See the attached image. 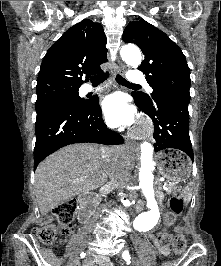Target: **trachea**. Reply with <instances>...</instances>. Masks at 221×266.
<instances>
[{
	"label": "trachea",
	"instance_id": "trachea-1",
	"mask_svg": "<svg viewBox=\"0 0 221 266\" xmlns=\"http://www.w3.org/2000/svg\"><path fill=\"white\" fill-rule=\"evenodd\" d=\"M108 76H109L108 72L101 73V74H98L96 76L90 77V80L93 84H100V83L104 82L108 78ZM116 81H117V83L124 85V86H139L137 84H133V83L128 82L126 79H124L119 74L116 76Z\"/></svg>",
	"mask_w": 221,
	"mask_h": 266
}]
</instances>
